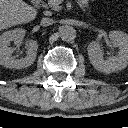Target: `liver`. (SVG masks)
<instances>
[{
	"label": "liver",
	"instance_id": "liver-1",
	"mask_svg": "<svg viewBox=\"0 0 128 128\" xmlns=\"http://www.w3.org/2000/svg\"><path fill=\"white\" fill-rule=\"evenodd\" d=\"M37 10L23 0H0V31L35 19Z\"/></svg>",
	"mask_w": 128,
	"mask_h": 128
}]
</instances>
